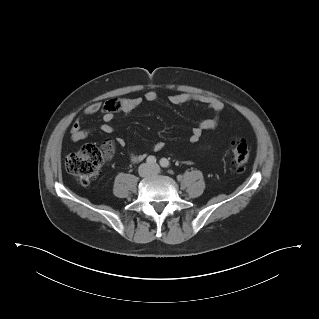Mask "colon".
I'll use <instances>...</instances> for the list:
<instances>
[{"label": "colon", "mask_w": 319, "mask_h": 319, "mask_svg": "<svg viewBox=\"0 0 319 319\" xmlns=\"http://www.w3.org/2000/svg\"><path fill=\"white\" fill-rule=\"evenodd\" d=\"M117 104V99L110 102ZM112 152V144L104 143L101 147L95 145H85L79 150L66 156L64 165L66 170L72 174L80 184L90 185L99 175L100 169L104 161L110 157ZM250 148L244 140H234L228 151L231 167L242 172L248 162Z\"/></svg>", "instance_id": "5ec220e1"}]
</instances>
